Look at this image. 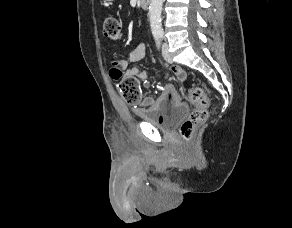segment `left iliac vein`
<instances>
[{"label": "left iliac vein", "mask_w": 292, "mask_h": 228, "mask_svg": "<svg viewBox=\"0 0 292 228\" xmlns=\"http://www.w3.org/2000/svg\"><path fill=\"white\" fill-rule=\"evenodd\" d=\"M162 55L167 62H171V57L168 52V44L166 42H164L162 45Z\"/></svg>", "instance_id": "left-iliac-vein-1"}]
</instances>
